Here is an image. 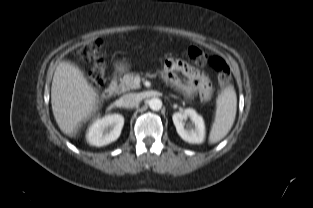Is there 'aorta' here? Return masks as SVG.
<instances>
[{
    "instance_id": "762f6f07",
    "label": "aorta",
    "mask_w": 313,
    "mask_h": 208,
    "mask_svg": "<svg viewBox=\"0 0 313 208\" xmlns=\"http://www.w3.org/2000/svg\"><path fill=\"white\" fill-rule=\"evenodd\" d=\"M149 107L153 111H159L162 108V101L159 98H152L149 101Z\"/></svg>"
}]
</instances>
